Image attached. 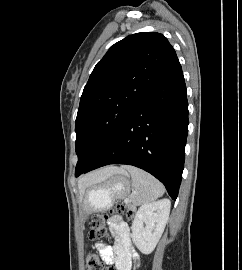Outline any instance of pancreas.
Segmentation results:
<instances>
[{"mask_svg":"<svg viewBox=\"0 0 242 270\" xmlns=\"http://www.w3.org/2000/svg\"><path fill=\"white\" fill-rule=\"evenodd\" d=\"M127 207H128L130 210L135 211V206H134V205L128 204Z\"/></svg>","mask_w":242,"mask_h":270,"instance_id":"obj_1","label":"pancreas"}]
</instances>
